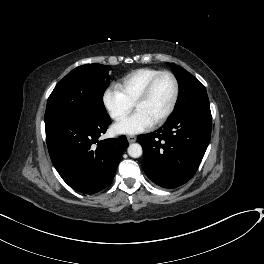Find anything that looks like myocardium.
Returning <instances> with one entry per match:
<instances>
[{"label": "myocardium", "instance_id": "1", "mask_svg": "<svg viewBox=\"0 0 264 264\" xmlns=\"http://www.w3.org/2000/svg\"><path fill=\"white\" fill-rule=\"evenodd\" d=\"M164 75L170 76L171 79L173 80L174 93H173V98H172L169 108L165 111V113L162 116H160L155 122H153L154 126H159L163 124L172 115V113L174 112L176 108L178 97H179V91H180L179 82H178L177 77L172 72L167 71V70L159 72L158 74H156L154 77H152L149 80V82L146 84V86L144 87V89L142 90V92L140 93L136 101L134 102V107L144 102L149 97L153 89V86L155 85L157 80Z\"/></svg>", "mask_w": 264, "mask_h": 264}]
</instances>
